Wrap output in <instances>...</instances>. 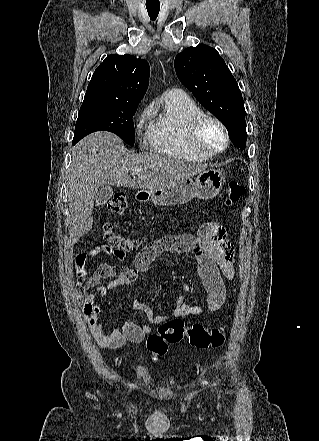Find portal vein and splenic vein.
Instances as JSON below:
<instances>
[{
	"mask_svg": "<svg viewBox=\"0 0 319 441\" xmlns=\"http://www.w3.org/2000/svg\"><path fill=\"white\" fill-rule=\"evenodd\" d=\"M133 174L138 175V174H139V170H134V171H133Z\"/></svg>",
	"mask_w": 319,
	"mask_h": 441,
	"instance_id": "1",
	"label": "portal vein and splenic vein"
}]
</instances>
